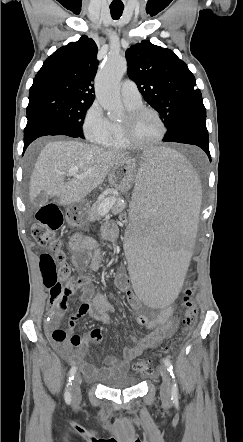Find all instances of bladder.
Listing matches in <instances>:
<instances>
[{
	"label": "bladder",
	"instance_id": "bladder-1",
	"mask_svg": "<svg viewBox=\"0 0 243 442\" xmlns=\"http://www.w3.org/2000/svg\"><path fill=\"white\" fill-rule=\"evenodd\" d=\"M139 381L128 373L111 375L101 379L100 385L107 389H128L138 385Z\"/></svg>",
	"mask_w": 243,
	"mask_h": 442
}]
</instances>
